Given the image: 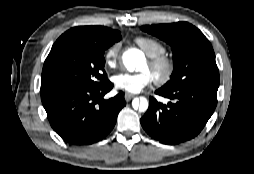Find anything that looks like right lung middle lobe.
Here are the masks:
<instances>
[{
  "label": "right lung middle lobe",
  "instance_id": "right-lung-middle-lobe-1",
  "mask_svg": "<svg viewBox=\"0 0 254 174\" xmlns=\"http://www.w3.org/2000/svg\"><path fill=\"white\" fill-rule=\"evenodd\" d=\"M121 39V33L103 42L62 34L45 60L41 96L76 88H92L107 81L104 51Z\"/></svg>",
  "mask_w": 254,
  "mask_h": 174
}]
</instances>
